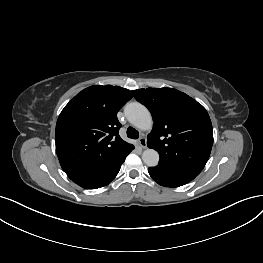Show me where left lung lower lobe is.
<instances>
[{
    "label": "left lung lower lobe",
    "mask_w": 263,
    "mask_h": 263,
    "mask_svg": "<svg viewBox=\"0 0 263 263\" xmlns=\"http://www.w3.org/2000/svg\"><path fill=\"white\" fill-rule=\"evenodd\" d=\"M148 172L154 181L165 187H179L196 177V175L171 170L161 165L150 167Z\"/></svg>",
    "instance_id": "0a47b994"
}]
</instances>
